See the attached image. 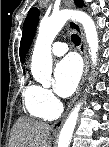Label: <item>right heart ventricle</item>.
Wrapping results in <instances>:
<instances>
[{
    "label": "right heart ventricle",
    "mask_w": 109,
    "mask_h": 147,
    "mask_svg": "<svg viewBox=\"0 0 109 147\" xmlns=\"http://www.w3.org/2000/svg\"><path fill=\"white\" fill-rule=\"evenodd\" d=\"M37 86L29 84L26 87L25 93H24V103L27 108V111L29 114L35 118L38 119H46V120H52L54 119L58 113L59 109L55 111H50L43 106H41L36 100H35V91Z\"/></svg>",
    "instance_id": "right-heart-ventricle-1"
}]
</instances>
